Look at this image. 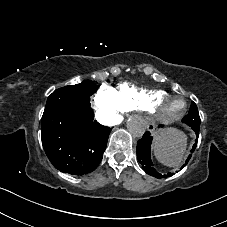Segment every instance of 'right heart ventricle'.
Listing matches in <instances>:
<instances>
[{
	"label": "right heart ventricle",
	"mask_w": 227,
	"mask_h": 227,
	"mask_svg": "<svg viewBox=\"0 0 227 227\" xmlns=\"http://www.w3.org/2000/svg\"><path fill=\"white\" fill-rule=\"evenodd\" d=\"M114 91L124 112H145L152 100L169 95L162 89L143 88L129 82L118 84Z\"/></svg>",
	"instance_id": "1"
}]
</instances>
